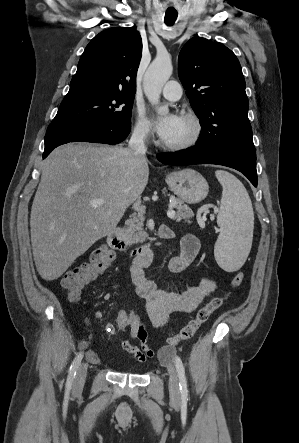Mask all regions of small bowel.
<instances>
[{
	"label": "small bowel",
	"instance_id": "1",
	"mask_svg": "<svg viewBox=\"0 0 299 443\" xmlns=\"http://www.w3.org/2000/svg\"><path fill=\"white\" fill-rule=\"evenodd\" d=\"M166 228L170 233V238H173V230L169 227ZM198 250V238L192 234L185 235L181 241L180 253L168 259V269L172 272L185 270L195 259ZM130 276L137 294L144 301L146 314L152 325L156 328L165 326L169 322L170 316L175 312H194L204 299L213 293L216 288L213 280L202 278L197 286L189 287L185 291H166L161 289L154 281L148 279L145 275L144 266L136 262H134L130 268ZM94 317L101 319L102 314L96 312ZM105 330L109 335H115L117 333L112 323H108ZM146 341L147 332L145 329V335L139 341V346L133 345L128 339H124L122 340V347L136 362L144 363L147 359L154 356L153 350L148 347ZM88 356L90 359L96 360L94 353H89Z\"/></svg>",
	"mask_w": 299,
	"mask_h": 443
}]
</instances>
